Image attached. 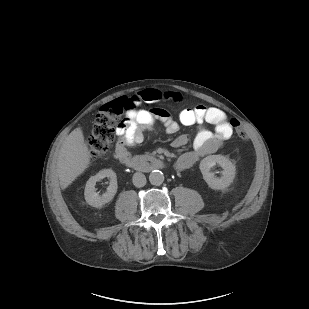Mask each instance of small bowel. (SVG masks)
<instances>
[{
  "label": "small bowel",
  "mask_w": 309,
  "mask_h": 309,
  "mask_svg": "<svg viewBox=\"0 0 309 309\" xmlns=\"http://www.w3.org/2000/svg\"><path fill=\"white\" fill-rule=\"evenodd\" d=\"M161 99L181 102L182 98L176 93L161 94L154 89H147L129 97V108L126 111V122L124 127L117 132L118 141L114 156L119 160L129 157L128 147L140 143L144 138L145 131H153L157 121H160L168 134L179 131L180 125L175 121L168 111L163 108L143 109L147 104L155 103ZM179 122L184 126L194 124L201 125L206 122L214 126L211 131L200 126L193 140V149L182 154L177 162L178 170L183 171L195 164L202 157L219 150L224 142L233 135V125L227 120L223 111L215 107L196 105L186 107L179 113ZM188 142V137L179 135L173 142L175 147H182Z\"/></svg>",
  "instance_id": "c3829d8e"
}]
</instances>
